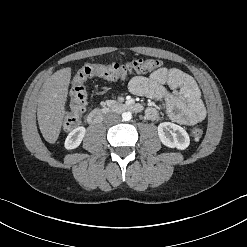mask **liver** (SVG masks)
Wrapping results in <instances>:
<instances>
[{"instance_id":"liver-1","label":"liver","mask_w":247,"mask_h":247,"mask_svg":"<svg viewBox=\"0 0 247 247\" xmlns=\"http://www.w3.org/2000/svg\"><path fill=\"white\" fill-rule=\"evenodd\" d=\"M70 79V68L58 70L45 81L38 99L39 128L44 139L50 144L57 141L61 131Z\"/></svg>"}]
</instances>
